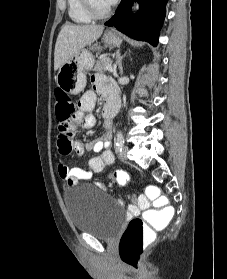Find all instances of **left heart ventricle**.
I'll return each instance as SVG.
<instances>
[{
	"label": "left heart ventricle",
	"mask_w": 227,
	"mask_h": 279,
	"mask_svg": "<svg viewBox=\"0 0 227 279\" xmlns=\"http://www.w3.org/2000/svg\"><path fill=\"white\" fill-rule=\"evenodd\" d=\"M92 4L99 12L105 11L110 6L107 0H92Z\"/></svg>",
	"instance_id": "b2bd125f"
}]
</instances>
